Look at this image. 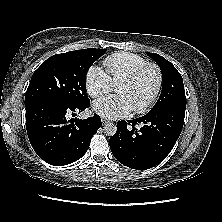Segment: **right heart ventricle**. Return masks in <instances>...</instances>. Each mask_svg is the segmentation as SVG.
<instances>
[{
  "label": "right heart ventricle",
  "mask_w": 222,
  "mask_h": 222,
  "mask_svg": "<svg viewBox=\"0 0 222 222\" xmlns=\"http://www.w3.org/2000/svg\"><path fill=\"white\" fill-rule=\"evenodd\" d=\"M146 63L148 62L143 57L126 52L114 53L104 60L106 72L114 85H118L134 70Z\"/></svg>",
  "instance_id": "obj_1"
}]
</instances>
